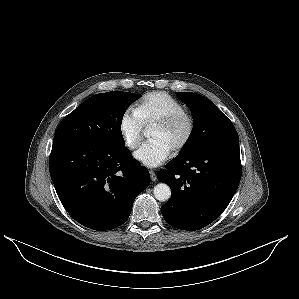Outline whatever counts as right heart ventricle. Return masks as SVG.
I'll list each match as a JSON object with an SVG mask.
<instances>
[{
	"mask_svg": "<svg viewBox=\"0 0 299 299\" xmlns=\"http://www.w3.org/2000/svg\"><path fill=\"white\" fill-rule=\"evenodd\" d=\"M136 111L145 127H151L166 118L186 112L185 107L165 92H150L144 95L136 105Z\"/></svg>",
	"mask_w": 299,
	"mask_h": 299,
	"instance_id": "1",
	"label": "right heart ventricle"
}]
</instances>
